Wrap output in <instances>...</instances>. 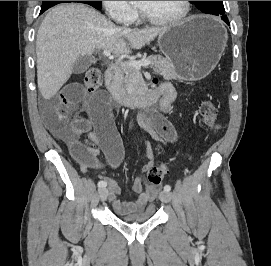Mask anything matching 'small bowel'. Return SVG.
<instances>
[{
	"label": "small bowel",
	"instance_id": "1",
	"mask_svg": "<svg viewBox=\"0 0 271 266\" xmlns=\"http://www.w3.org/2000/svg\"><path fill=\"white\" fill-rule=\"evenodd\" d=\"M82 65H76L74 72H79ZM162 97L160 108L163 112H168L175 100L176 93L173 86L169 83H163L160 86ZM85 96V92L79 83H69L65 85L51 100L42 103V111L46 125L52 129L62 140L70 144V149L83 172L89 169L101 168L98 155L102 151L111 167L119 165L123 156V146L119 133L115 127L111 102L103 92L94 95L90 100L89 117L87 121L80 124L83 132L89 134L91 139L97 145L94 149H84L76 146L65 129L67 114L69 111ZM154 131L157 136L172 142L175 140V131L173 127L164 120H157L154 123ZM152 166V162L143 167L147 171ZM108 201L113 209L121 214H128L143 210L152 202L160 190V185L145 186L141 178L136 177L133 180V190L138 194L134 201L121 202L118 200L120 188L117 183L107 178Z\"/></svg>",
	"mask_w": 271,
	"mask_h": 266
}]
</instances>
